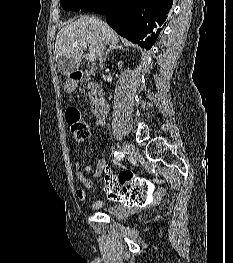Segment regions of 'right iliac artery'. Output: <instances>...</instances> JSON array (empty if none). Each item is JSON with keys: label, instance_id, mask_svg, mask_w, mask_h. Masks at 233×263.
<instances>
[{"label": "right iliac artery", "instance_id": "right-iliac-artery-1", "mask_svg": "<svg viewBox=\"0 0 233 263\" xmlns=\"http://www.w3.org/2000/svg\"><path fill=\"white\" fill-rule=\"evenodd\" d=\"M114 157H115L116 160H121L124 157V153L115 151Z\"/></svg>", "mask_w": 233, "mask_h": 263}]
</instances>
